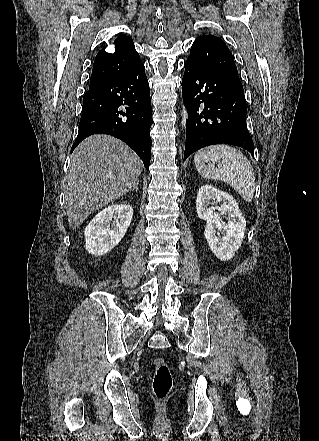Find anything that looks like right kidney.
<instances>
[{
	"mask_svg": "<svg viewBox=\"0 0 319 441\" xmlns=\"http://www.w3.org/2000/svg\"><path fill=\"white\" fill-rule=\"evenodd\" d=\"M132 215L129 204H113L99 212L84 231L88 253L102 256L112 250L124 237Z\"/></svg>",
	"mask_w": 319,
	"mask_h": 441,
	"instance_id": "ca27d5eb",
	"label": "right kidney"
}]
</instances>
